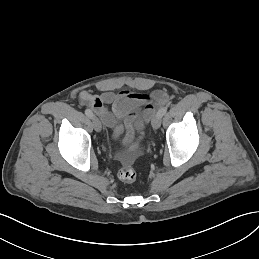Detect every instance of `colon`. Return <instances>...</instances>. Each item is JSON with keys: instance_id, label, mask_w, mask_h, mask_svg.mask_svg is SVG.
I'll list each match as a JSON object with an SVG mask.
<instances>
[{"instance_id": "obj_1", "label": "colon", "mask_w": 259, "mask_h": 259, "mask_svg": "<svg viewBox=\"0 0 259 259\" xmlns=\"http://www.w3.org/2000/svg\"><path fill=\"white\" fill-rule=\"evenodd\" d=\"M137 174L136 171L130 167V166H125L120 169L118 173V178L125 183H132L136 180Z\"/></svg>"}]
</instances>
